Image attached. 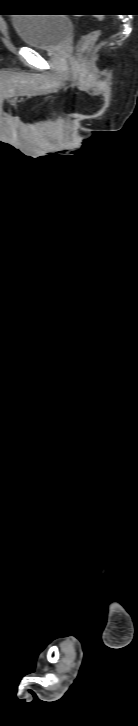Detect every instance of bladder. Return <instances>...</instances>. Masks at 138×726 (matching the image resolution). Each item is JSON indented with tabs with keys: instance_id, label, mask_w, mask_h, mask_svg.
<instances>
[{
	"instance_id": "1",
	"label": "bladder",
	"mask_w": 138,
	"mask_h": 726,
	"mask_svg": "<svg viewBox=\"0 0 138 726\" xmlns=\"http://www.w3.org/2000/svg\"><path fill=\"white\" fill-rule=\"evenodd\" d=\"M43 15L52 17L39 18ZM12 26L24 45L38 49L58 48L72 29L64 14H21L12 20Z\"/></svg>"
}]
</instances>
